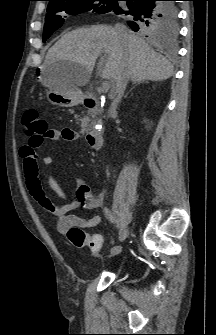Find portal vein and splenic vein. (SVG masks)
I'll list each match as a JSON object with an SVG mask.
<instances>
[{
	"label": "portal vein and splenic vein",
	"instance_id": "18ae733b",
	"mask_svg": "<svg viewBox=\"0 0 216 335\" xmlns=\"http://www.w3.org/2000/svg\"><path fill=\"white\" fill-rule=\"evenodd\" d=\"M109 89H110V81H104L100 91L102 93H107Z\"/></svg>",
	"mask_w": 216,
	"mask_h": 335
}]
</instances>
